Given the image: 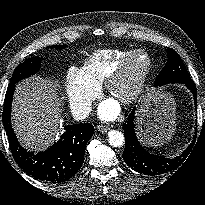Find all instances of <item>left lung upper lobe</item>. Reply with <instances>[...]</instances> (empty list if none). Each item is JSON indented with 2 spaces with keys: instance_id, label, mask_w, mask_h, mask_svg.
I'll return each instance as SVG.
<instances>
[{
  "instance_id": "5c2ea615",
  "label": "left lung upper lobe",
  "mask_w": 205,
  "mask_h": 205,
  "mask_svg": "<svg viewBox=\"0 0 205 205\" xmlns=\"http://www.w3.org/2000/svg\"><path fill=\"white\" fill-rule=\"evenodd\" d=\"M167 64L163 67L155 80V85H165L169 83H185L191 81L185 64L179 55L171 48L167 49Z\"/></svg>"
}]
</instances>
